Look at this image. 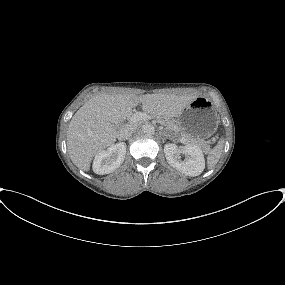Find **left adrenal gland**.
Masks as SVG:
<instances>
[{"label":"left adrenal gland","instance_id":"1","mask_svg":"<svg viewBox=\"0 0 285 285\" xmlns=\"http://www.w3.org/2000/svg\"><path fill=\"white\" fill-rule=\"evenodd\" d=\"M161 134L163 135V137H165V138H168V135H167V133L164 131V132H161ZM164 138V139H165Z\"/></svg>","mask_w":285,"mask_h":285}]
</instances>
